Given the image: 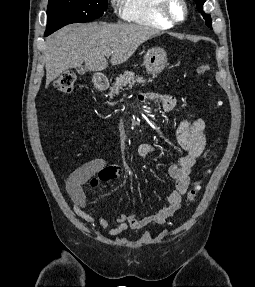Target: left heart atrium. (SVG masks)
<instances>
[{"mask_svg": "<svg viewBox=\"0 0 255 287\" xmlns=\"http://www.w3.org/2000/svg\"><path fill=\"white\" fill-rule=\"evenodd\" d=\"M118 33H140V32H118ZM116 39H138V38H116ZM122 48H134V47H122Z\"/></svg>", "mask_w": 255, "mask_h": 287, "instance_id": "obj_1", "label": "left heart atrium"}]
</instances>
